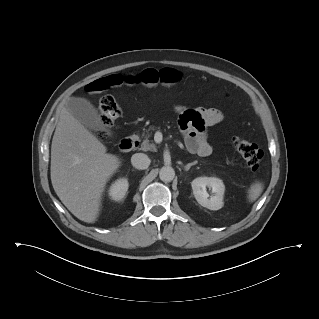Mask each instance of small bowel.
Masks as SVG:
<instances>
[{
  "mask_svg": "<svg viewBox=\"0 0 319 319\" xmlns=\"http://www.w3.org/2000/svg\"><path fill=\"white\" fill-rule=\"evenodd\" d=\"M182 79V75L173 69H144L137 77L127 75H109L89 83L86 91L98 93L109 88L117 87L121 84L141 85L152 87L157 84L172 86ZM179 113V128L183 134L184 143L187 149L202 157H207L212 153V146L206 138V129L216 125L223 120V114L215 108H190L186 106H176Z\"/></svg>",
  "mask_w": 319,
  "mask_h": 319,
  "instance_id": "c3829d8e",
  "label": "small bowel"
}]
</instances>
